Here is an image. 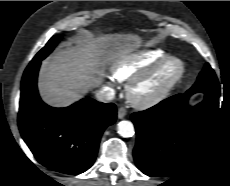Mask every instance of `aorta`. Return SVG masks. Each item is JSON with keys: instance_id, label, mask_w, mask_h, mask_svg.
Returning a JSON list of instances; mask_svg holds the SVG:
<instances>
[{"instance_id": "obj_1", "label": "aorta", "mask_w": 230, "mask_h": 186, "mask_svg": "<svg viewBox=\"0 0 230 186\" xmlns=\"http://www.w3.org/2000/svg\"><path fill=\"white\" fill-rule=\"evenodd\" d=\"M117 132L122 137H132L135 133L132 122L127 120L118 123Z\"/></svg>"}]
</instances>
